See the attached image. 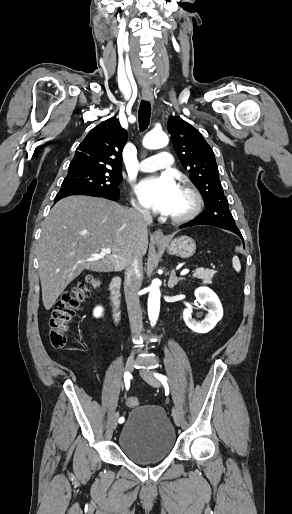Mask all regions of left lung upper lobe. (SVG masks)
<instances>
[{
    "label": "left lung upper lobe",
    "instance_id": "1",
    "mask_svg": "<svg viewBox=\"0 0 292 514\" xmlns=\"http://www.w3.org/2000/svg\"><path fill=\"white\" fill-rule=\"evenodd\" d=\"M167 126L175 152L205 202L206 210L197 218L201 222L238 229L219 180L212 148L196 128L179 117H170Z\"/></svg>",
    "mask_w": 292,
    "mask_h": 514
}]
</instances>
